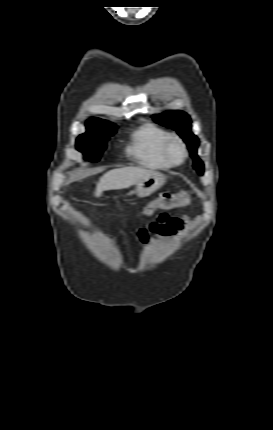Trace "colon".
Returning <instances> with one entry per match:
<instances>
[{
    "instance_id": "1",
    "label": "colon",
    "mask_w": 273,
    "mask_h": 430,
    "mask_svg": "<svg viewBox=\"0 0 273 430\" xmlns=\"http://www.w3.org/2000/svg\"><path fill=\"white\" fill-rule=\"evenodd\" d=\"M190 200V195L187 192H163L157 199L147 203L142 212L150 216L157 209H172L187 206L190 204Z\"/></svg>"
}]
</instances>
